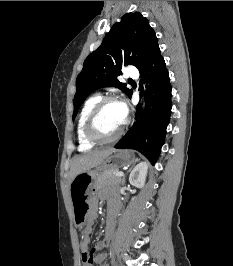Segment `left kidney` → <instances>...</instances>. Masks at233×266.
Masks as SVG:
<instances>
[{
	"label": "left kidney",
	"instance_id": "obj_1",
	"mask_svg": "<svg viewBox=\"0 0 233 266\" xmlns=\"http://www.w3.org/2000/svg\"><path fill=\"white\" fill-rule=\"evenodd\" d=\"M148 164L146 162L139 163L131 172L129 182L131 185L142 188L146 181Z\"/></svg>",
	"mask_w": 233,
	"mask_h": 266
}]
</instances>
